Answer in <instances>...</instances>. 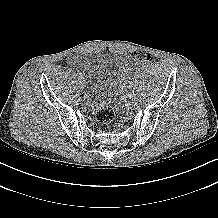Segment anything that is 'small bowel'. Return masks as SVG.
Listing matches in <instances>:
<instances>
[{
  "label": "small bowel",
  "mask_w": 218,
  "mask_h": 218,
  "mask_svg": "<svg viewBox=\"0 0 218 218\" xmlns=\"http://www.w3.org/2000/svg\"><path fill=\"white\" fill-rule=\"evenodd\" d=\"M67 61L70 65L74 66L77 63V58L75 56L71 55L68 57Z\"/></svg>",
  "instance_id": "small-bowel-1"
}]
</instances>
